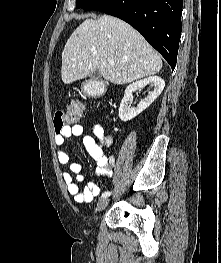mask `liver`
Listing matches in <instances>:
<instances>
[{"label":"liver","instance_id":"1","mask_svg":"<svg viewBox=\"0 0 221 263\" xmlns=\"http://www.w3.org/2000/svg\"><path fill=\"white\" fill-rule=\"evenodd\" d=\"M161 68V57L140 33L121 19L103 15L86 19L71 34L62 52L61 77L70 84L99 70L104 79L121 85Z\"/></svg>","mask_w":221,"mask_h":263}]
</instances>
